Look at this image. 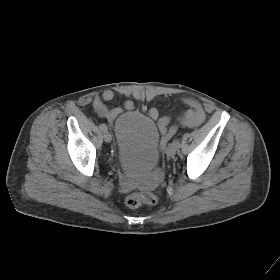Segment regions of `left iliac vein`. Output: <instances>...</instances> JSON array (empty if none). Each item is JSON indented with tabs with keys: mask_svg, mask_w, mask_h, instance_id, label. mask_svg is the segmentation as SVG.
<instances>
[{
	"mask_svg": "<svg viewBox=\"0 0 280 280\" xmlns=\"http://www.w3.org/2000/svg\"><path fill=\"white\" fill-rule=\"evenodd\" d=\"M177 148L174 146L170 145L166 149V154L170 157H173L176 154Z\"/></svg>",
	"mask_w": 280,
	"mask_h": 280,
	"instance_id": "1",
	"label": "left iliac vein"
}]
</instances>
